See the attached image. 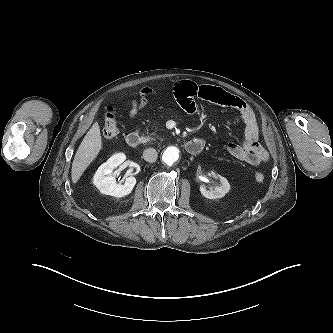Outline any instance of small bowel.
<instances>
[{"mask_svg": "<svg viewBox=\"0 0 333 333\" xmlns=\"http://www.w3.org/2000/svg\"><path fill=\"white\" fill-rule=\"evenodd\" d=\"M152 93L151 89L144 88L138 94L139 99H132L129 109L131 117H135L147 104V96ZM174 95L179 104L189 113L196 111V99L236 110L245 125V139L243 144L229 143L227 145L228 153L252 166H257L267 160L268 154L258 141L259 126L257 117L252 108L241 98L226 92L222 88L200 85L188 80H183L175 85Z\"/></svg>", "mask_w": 333, "mask_h": 333, "instance_id": "small-bowel-1", "label": "small bowel"}]
</instances>
